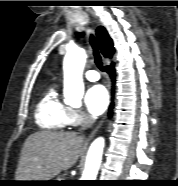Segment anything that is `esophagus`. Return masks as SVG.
Masks as SVG:
<instances>
[{
  "instance_id": "1",
  "label": "esophagus",
  "mask_w": 178,
  "mask_h": 186,
  "mask_svg": "<svg viewBox=\"0 0 178 186\" xmlns=\"http://www.w3.org/2000/svg\"><path fill=\"white\" fill-rule=\"evenodd\" d=\"M103 122H101L92 132L91 134L89 135V138H92L95 133L98 131V129L100 128V126L102 125Z\"/></svg>"
}]
</instances>
